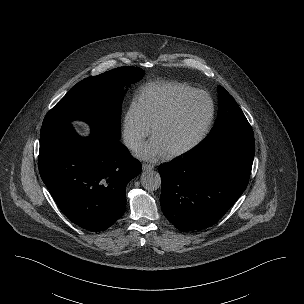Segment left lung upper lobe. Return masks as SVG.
Masks as SVG:
<instances>
[{"mask_svg":"<svg viewBox=\"0 0 304 304\" xmlns=\"http://www.w3.org/2000/svg\"><path fill=\"white\" fill-rule=\"evenodd\" d=\"M218 93V119L210 135L196 150L231 137L253 136L251 126L234 98L220 86Z\"/></svg>","mask_w":304,"mask_h":304,"instance_id":"1","label":"left lung upper lobe"}]
</instances>
